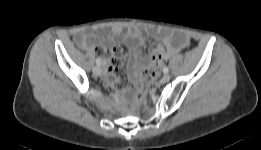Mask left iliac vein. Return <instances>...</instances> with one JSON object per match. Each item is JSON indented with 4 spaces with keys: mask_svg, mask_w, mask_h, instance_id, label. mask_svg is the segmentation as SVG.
<instances>
[{
    "mask_svg": "<svg viewBox=\"0 0 261 150\" xmlns=\"http://www.w3.org/2000/svg\"><path fill=\"white\" fill-rule=\"evenodd\" d=\"M171 76L169 74H164L163 77L161 78V83H166L170 80Z\"/></svg>",
    "mask_w": 261,
    "mask_h": 150,
    "instance_id": "4c4485c4",
    "label": "left iliac vein"
}]
</instances>
